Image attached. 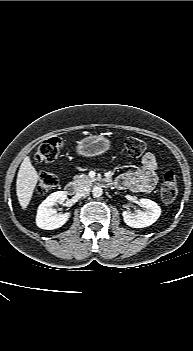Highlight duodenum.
Wrapping results in <instances>:
<instances>
[{
	"label": "duodenum",
	"instance_id": "410a0bca",
	"mask_svg": "<svg viewBox=\"0 0 193 351\" xmlns=\"http://www.w3.org/2000/svg\"><path fill=\"white\" fill-rule=\"evenodd\" d=\"M100 183L102 185H105V186H108L110 185V180L109 179H102L100 180ZM66 192L68 195L70 196H73L77 193V187H76V184L74 182H69L67 185H66Z\"/></svg>",
	"mask_w": 193,
	"mask_h": 351
}]
</instances>
